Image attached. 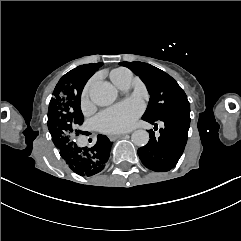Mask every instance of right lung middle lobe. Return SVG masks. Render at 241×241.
<instances>
[{"mask_svg":"<svg viewBox=\"0 0 241 241\" xmlns=\"http://www.w3.org/2000/svg\"><path fill=\"white\" fill-rule=\"evenodd\" d=\"M103 63L85 64L66 73L57 83L48 109V129L59 149L73 145L81 132L84 117L80 108L82 90L88 79Z\"/></svg>","mask_w":241,"mask_h":241,"instance_id":"1","label":"right lung middle lobe"}]
</instances>
